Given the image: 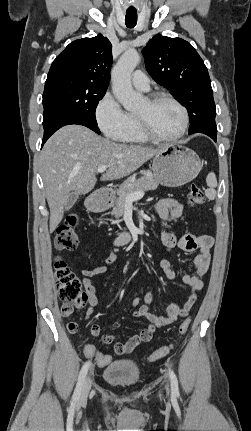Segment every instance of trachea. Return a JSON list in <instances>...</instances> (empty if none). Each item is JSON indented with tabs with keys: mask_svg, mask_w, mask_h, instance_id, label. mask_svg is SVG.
Returning <instances> with one entry per match:
<instances>
[{
	"mask_svg": "<svg viewBox=\"0 0 251 431\" xmlns=\"http://www.w3.org/2000/svg\"><path fill=\"white\" fill-rule=\"evenodd\" d=\"M137 23V13H127L125 17V24L128 28L135 27Z\"/></svg>",
	"mask_w": 251,
	"mask_h": 431,
	"instance_id": "3493384b",
	"label": "trachea"
}]
</instances>
